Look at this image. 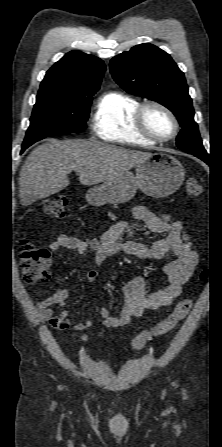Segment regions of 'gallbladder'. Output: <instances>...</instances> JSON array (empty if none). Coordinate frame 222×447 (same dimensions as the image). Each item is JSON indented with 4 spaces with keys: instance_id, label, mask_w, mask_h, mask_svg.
Returning <instances> with one entry per match:
<instances>
[{
    "instance_id": "bac80fb5",
    "label": "gallbladder",
    "mask_w": 222,
    "mask_h": 447,
    "mask_svg": "<svg viewBox=\"0 0 222 447\" xmlns=\"http://www.w3.org/2000/svg\"><path fill=\"white\" fill-rule=\"evenodd\" d=\"M37 199L36 198H28V200L25 202L26 205H30L34 203Z\"/></svg>"
}]
</instances>
